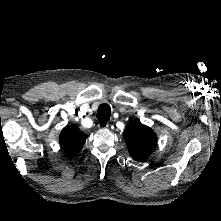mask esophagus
<instances>
[{"instance_id":"1","label":"esophagus","mask_w":221,"mask_h":221,"mask_svg":"<svg viewBox=\"0 0 221 221\" xmlns=\"http://www.w3.org/2000/svg\"><path fill=\"white\" fill-rule=\"evenodd\" d=\"M97 126H98L99 129H107L109 127V123L99 122Z\"/></svg>"}]
</instances>
